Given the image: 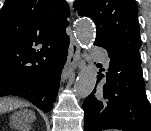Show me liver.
Listing matches in <instances>:
<instances>
[{
	"label": "liver",
	"instance_id": "obj_1",
	"mask_svg": "<svg viewBox=\"0 0 151 131\" xmlns=\"http://www.w3.org/2000/svg\"><path fill=\"white\" fill-rule=\"evenodd\" d=\"M16 107H18V105L13 104L12 102H0V114L7 112Z\"/></svg>",
	"mask_w": 151,
	"mask_h": 131
}]
</instances>
